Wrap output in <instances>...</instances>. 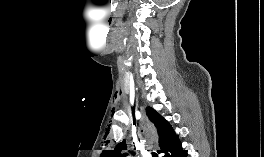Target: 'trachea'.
Returning a JSON list of instances; mask_svg holds the SVG:
<instances>
[{
  "instance_id": "obj_1",
  "label": "trachea",
  "mask_w": 264,
  "mask_h": 157,
  "mask_svg": "<svg viewBox=\"0 0 264 157\" xmlns=\"http://www.w3.org/2000/svg\"><path fill=\"white\" fill-rule=\"evenodd\" d=\"M153 157H158L156 153H153Z\"/></svg>"
}]
</instances>
